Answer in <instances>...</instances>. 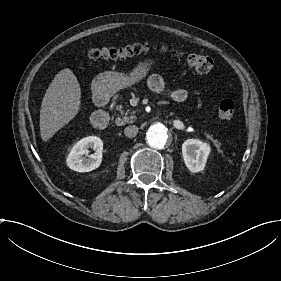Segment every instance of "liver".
Listing matches in <instances>:
<instances>
[{"label": "liver", "mask_w": 281, "mask_h": 281, "mask_svg": "<svg viewBox=\"0 0 281 281\" xmlns=\"http://www.w3.org/2000/svg\"><path fill=\"white\" fill-rule=\"evenodd\" d=\"M81 88L69 69L61 70L49 85L40 109V135L48 141L79 112Z\"/></svg>", "instance_id": "liver-1"}]
</instances>
